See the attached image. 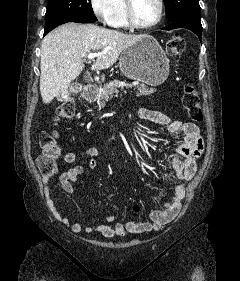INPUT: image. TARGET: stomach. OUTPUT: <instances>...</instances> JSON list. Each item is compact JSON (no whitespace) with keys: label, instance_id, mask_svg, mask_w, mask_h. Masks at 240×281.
<instances>
[{"label":"stomach","instance_id":"stomach-1","mask_svg":"<svg viewBox=\"0 0 240 281\" xmlns=\"http://www.w3.org/2000/svg\"><path fill=\"white\" fill-rule=\"evenodd\" d=\"M119 66L126 77L151 86L162 84L169 75V59L157 40L149 35L122 52Z\"/></svg>","mask_w":240,"mask_h":281}]
</instances>
